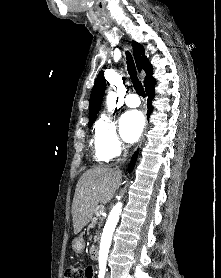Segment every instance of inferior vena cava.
Returning a JSON list of instances; mask_svg holds the SVG:
<instances>
[{"label":"inferior vena cava","mask_w":221,"mask_h":278,"mask_svg":"<svg viewBox=\"0 0 221 278\" xmlns=\"http://www.w3.org/2000/svg\"><path fill=\"white\" fill-rule=\"evenodd\" d=\"M123 156H124V159H122V162L125 161V157L127 156V152H126V151L124 152V155H123ZM116 169H117L118 171H120V170H119V167H116Z\"/></svg>","instance_id":"obj_1"}]
</instances>
